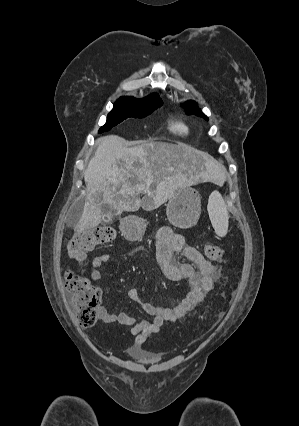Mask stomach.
<instances>
[{"instance_id":"0dacf381","label":"stomach","mask_w":299,"mask_h":426,"mask_svg":"<svg viewBox=\"0 0 299 426\" xmlns=\"http://www.w3.org/2000/svg\"><path fill=\"white\" fill-rule=\"evenodd\" d=\"M169 222L178 228L187 229L194 226L201 214V198L199 192L191 187L179 188L169 199L166 208ZM143 222L136 219L126 221L124 228L127 238L139 239L144 233Z\"/></svg>"}]
</instances>
